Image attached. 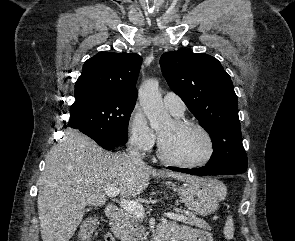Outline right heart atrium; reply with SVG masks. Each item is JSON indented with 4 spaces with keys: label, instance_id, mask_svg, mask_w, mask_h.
I'll return each instance as SVG.
<instances>
[{
    "label": "right heart atrium",
    "instance_id": "d8ad5b80",
    "mask_svg": "<svg viewBox=\"0 0 295 241\" xmlns=\"http://www.w3.org/2000/svg\"><path fill=\"white\" fill-rule=\"evenodd\" d=\"M129 144L141 153H148L156 143V135L139 109H134L128 119Z\"/></svg>",
    "mask_w": 295,
    "mask_h": 241
}]
</instances>
